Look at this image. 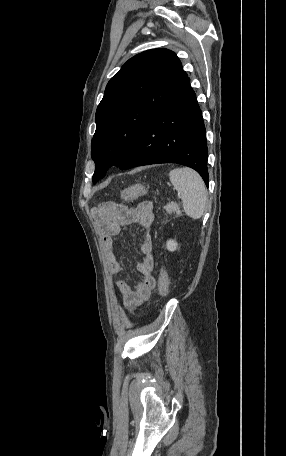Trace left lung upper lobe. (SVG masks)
<instances>
[{"instance_id": "1", "label": "left lung upper lobe", "mask_w": 286, "mask_h": 456, "mask_svg": "<svg viewBox=\"0 0 286 456\" xmlns=\"http://www.w3.org/2000/svg\"><path fill=\"white\" fill-rule=\"evenodd\" d=\"M186 77L174 52L153 49L129 59L111 78L95 115L94 184L111 166L120 167L140 133Z\"/></svg>"}]
</instances>
